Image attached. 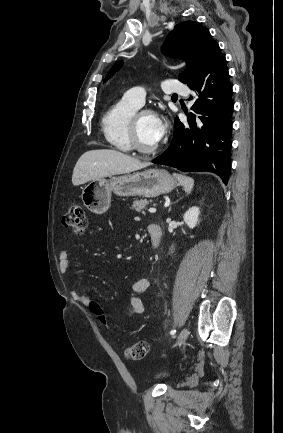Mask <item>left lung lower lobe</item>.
I'll list each match as a JSON object with an SVG mask.
<instances>
[{
    "label": "left lung lower lobe",
    "mask_w": 283,
    "mask_h": 433,
    "mask_svg": "<svg viewBox=\"0 0 283 433\" xmlns=\"http://www.w3.org/2000/svg\"><path fill=\"white\" fill-rule=\"evenodd\" d=\"M185 84L199 97L191 107L196 114H187V122L175 119L171 144L152 162L184 172L209 171L227 184L233 101L226 59L217 43L197 61Z\"/></svg>",
    "instance_id": "left-lung-lower-lobe-1"
}]
</instances>
